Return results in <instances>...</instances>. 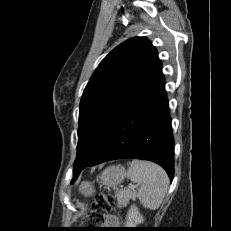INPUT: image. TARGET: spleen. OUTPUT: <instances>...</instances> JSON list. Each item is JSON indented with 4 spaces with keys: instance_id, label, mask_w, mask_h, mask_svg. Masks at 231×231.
Listing matches in <instances>:
<instances>
[{
    "instance_id": "3e777b00",
    "label": "spleen",
    "mask_w": 231,
    "mask_h": 231,
    "mask_svg": "<svg viewBox=\"0 0 231 231\" xmlns=\"http://www.w3.org/2000/svg\"><path fill=\"white\" fill-rule=\"evenodd\" d=\"M124 176L139 184L137 196L145 208L156 210L160 207L169 186L168 175L162 167L153 162L134 160Z\"/></svg>"
}]
</instances>
